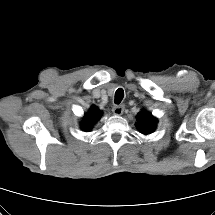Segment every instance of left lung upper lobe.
Returning <instances> with one entry per match:
<instances>
[{
	"instance_id": "1",
	"label": "left lung upper lobe",
	"mask_w": 215,
	"mask_h": 215,
	"mask_svg": "<svg viewBox=\"0 0 215 215\" xmlns=\"http://www.w3.org/2000/svg\"><path fill=\"white\" fill-rule=\"evenodd\" d=\"M136 120H137V128L140 130L141 133L143 134H150L152 133L156 126H157V119L152 116L151 113L143 110L141 111L137 117H136Z\"/></svg>"
}]
</instances>
